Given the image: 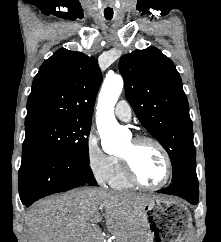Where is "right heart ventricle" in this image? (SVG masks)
Here are the masks:
<instances>
[{"instance_id": "right-heart-ventricle-1", "label": "right heart ventricle", "mask_w": 221, "mask_h": 242, "mask_svg": "<svg viewBox=\"0 0 221 242\" xmlns=\"http://www.w3.org/2000/svg\"><path fill=\"white\" fill-rule=\"evenodd\" d=\"M108 182L116 189H129L135 186L127 177L119 156H113V167Z\"/></svg>"}]
</instances>
